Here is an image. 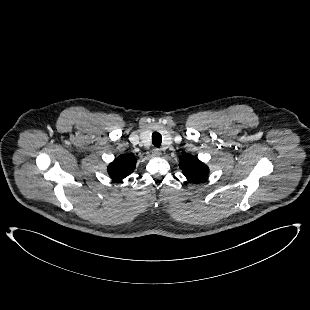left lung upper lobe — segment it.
Masks as SVG:
<instances>
[{
	"label": "left lung upper lobe",
	"instance_id": "obj_1",
	"mask_svg": "<svg viewBox=\"0 0 310 310\" xmlns=\"http://www.w3.org/2000/svg\"><path fill=\"white\" fill-rule=\"evenodd\" d=\"M179 167L187 180L192 183L201 182L209 173V169L204 163L189 154L180 157Z\"/></svg>",
	"mask_w": 310,
	"mask_h": 310
}]
</instances>
